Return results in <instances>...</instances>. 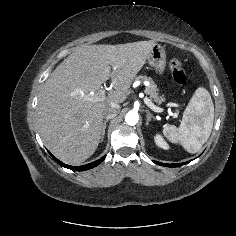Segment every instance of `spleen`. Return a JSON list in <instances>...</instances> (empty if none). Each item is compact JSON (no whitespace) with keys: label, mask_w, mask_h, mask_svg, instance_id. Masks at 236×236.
Segmentation results:
<instances>
[{"label":"spleen","mask_w":236,"mask_h":236,"mask_svg":"<svg viewBox=\"0 0 236 236\" xmlns=\"http://www.w3.org/2000/svg\"><path fill=\"white\" fill-rule=\"evenodd\" d=\"M214 121V105L210 93L203 87L196 89L190 99L180 126L166 125L164 136L172 143H180L189 153H196L208 140Z\"/></svg>","instance_id":"3e777b00"}]
</instances>
